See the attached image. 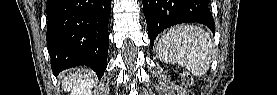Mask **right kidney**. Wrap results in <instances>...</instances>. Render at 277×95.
<instances>
[{"label": "right kidney", "mask_w": 277, "mask_h": 95, "mask_svg": "<svg viewBox=\"0 0 277 95\" xmlns=\"http://www.w3.org/2000/svg\"><path fill=\"white\" fill-rule=\"evenodd\" d=\"M94 85L93 80H86L80 84V91L77 93V95H91V88Z\"/></svg>", "instance_id": "ca27d5eb"}]
</instances>
